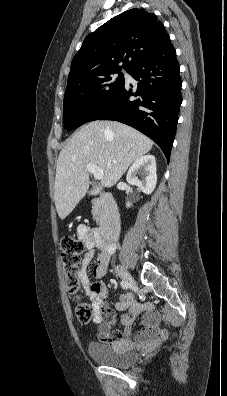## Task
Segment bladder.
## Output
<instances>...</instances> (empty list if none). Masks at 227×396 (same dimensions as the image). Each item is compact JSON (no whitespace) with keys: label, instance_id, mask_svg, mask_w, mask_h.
<instances>
[{"label":"bladder","instance_id":"31cf9c89","mask_svg":"<svg viewBox=\"0 0 227 396\" xmlns=\"http://www.w3.org/2000/svg\"><path fill=\"white\" fill-rule=\"evenodd\" d=\"M87 351L92 360L115 368H127L139 359V353L124 342H90Z\"/></svg>","mask_w":227,"mask_h":396}]
</instances>
